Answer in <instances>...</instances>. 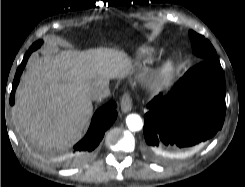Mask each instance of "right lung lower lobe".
I'll use <instances>...</instances> for the list:
<instances>
[{
  "instance_id": "98d812e1",
  "label": "right lung lower lobe",
  "mask_w": 245,
  "mask_h": 187,
  "mask_svg": "<svg viewBox=\"0 0 245 187\" xmlns=\"http://www.w3.org/2000/svg\"><path fill=\"white\" fill-rule=\"evenodd\" d=\"M34 49L30 48L25 54L24 59L16 71L14 77L12 91L10 94V104H14V95L20 80L22 71L26 65L28 57ZM117 117L116 103L109 102L99 110H97L92 118L90 128L86 136L74 146V160L76 163H82L89 160L96 151L97 146L102 140L105 131L113 124Z\"/></svg>"
}]
</instances>
